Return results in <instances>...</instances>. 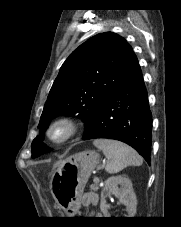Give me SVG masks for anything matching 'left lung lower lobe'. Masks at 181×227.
I'll return each instance as SVG.
<instances>
[{"mask_svg":"<svg viewBox=\"0 0 181 227\" xmlns=\"http://www.w3.org/2000/svg\"><path fill=\"white\" fill-rule=\"evenodd\" d=\"M152 115L138 61L114 88L101 107L84 140L116 139L133 147L149 163Z\"/></svg>","mask_w":181,"mask_h":227,"instance_id":"obj_1","label":"left lung lower lobe"}]
</instances>
